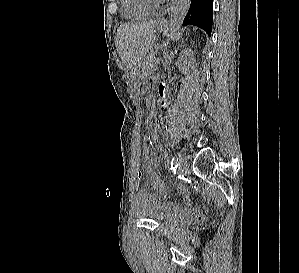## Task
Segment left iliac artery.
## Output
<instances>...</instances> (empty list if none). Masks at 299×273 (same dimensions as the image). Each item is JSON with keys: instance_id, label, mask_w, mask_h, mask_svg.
I'll return each mask as SVG.
<instances>
[{"instance_id": "left-iliac-artery-1", "label": "left iliac artery", "mask_w": 299, "mask_h": 273, "mask_svg": "<svg viewBox=\"0 0 299 273\" xmlns=\"http://www.w3.org/2000/svg\"><path fill=\"white\" fill-rule=\"evenodd\" d=\"M178 163H179V159L176 156L173 157L171 161V170H175L178 166Z\"/></svg>"}]
</instances>
